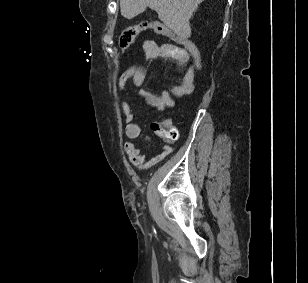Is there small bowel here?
I'll return each instance as SVG.
<instances>
[{"label": "small bowel", "mask_w": 308, "mask_h": 283, "mask_svg": "<svg viewBox=\"0 0 308 283\" xmlns=\"http://www.w3.org/2000/svg\"><path fill=\"white\" fill-rule=\"evenodd\" d=\"M142 51L148 58L163 57L174 60L178 66L184 69L181 79L157 95L145 89H140L138 94L152 107L163 110L175 104V98L187 95L193 91L195 71L191 66L190 55L182 48L170 44H158L154 41H145L142 45ZM146 77V70L142 67H130L126 69L119 77V86L121 90L129 96L128 84L131 82L134 86L140 87ZM121 109L126 122L125 135L127 141L124 144V150L128 160L139 170H146L165 159L173 151L170 140H167L158 154L153 157H146L141 149L134 143L142 134V127L135 120L130 99L121 102Z\"/></svg>", "instance_id": "1"}]
</instances>
